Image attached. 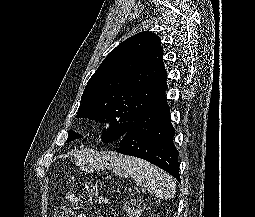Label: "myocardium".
<instances>
[{"label": "myocardium", "mask_w": 255, "mask_h": 217, "mask_svg": "<svg viewBox=\"0 0 255 217\" xmlns=\"http://www.w3.org/2000/svg\"><path fill=\"white\" fill-rule=\"evenodd\" d=\"M91 126L97 130H104L111 126V121L105 117H94L91 120Z\"/></svg>", "instance_id": "myocardium-1"}]
</instances>
